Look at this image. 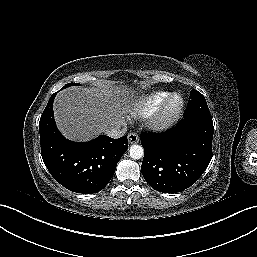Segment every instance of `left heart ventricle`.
Wrapping results in <instances>:
<instances>
[{
    "label": "left heart ventricle",
    "mask_w": 257,
    "mask_h": 257,
    "mask_svg": "<svg viewBox=\"0 0 257 257\" xmlns=\"http://www.w3.org/2000/svg\"><path fill=\"white\" fill-rule=\"evenodd\" d=\"M178 104V99H175L173 102H172V108H175Z\"/></svg>",
    "instance_id": "1"
}]
</instances>
